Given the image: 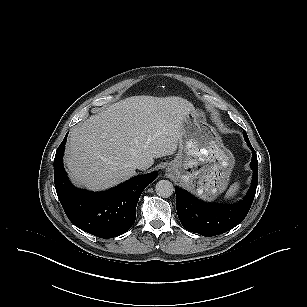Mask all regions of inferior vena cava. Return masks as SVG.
Masks as SVG:
<instances>
[{"instance_id":"obj_1","label":"inferior vena cava","mask_w":307,"mask_h":307,"mask_svg":"<svg viewBox=\"0 0 307 307\" xmlns=\"http://www.w3.org/2000/svg\"><path fill=\"white\" fill-rule=\"evenodd\" d=\"M135 168L140 169V170H145L149 168V165L145 163L144 161H136L134 163Z\"/></svg>"}]
</instances>
